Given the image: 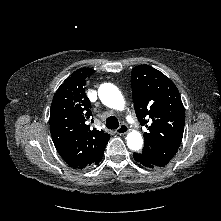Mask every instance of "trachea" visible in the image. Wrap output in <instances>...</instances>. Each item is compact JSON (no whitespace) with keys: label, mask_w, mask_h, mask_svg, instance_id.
Segmentation results:
<instances>
[{"label":"trachea","mask_w":221,"mask_h":221,"mask_svg":"<svg viewBox=\"0 0 221 221\" xmlns=\"http://www.w3.org/2000/svg\"><path fill=\"white\" fill-rule=\"evenodd\" d=\"M106 127L108 129H117L119 127V121L115 116H110L106 119Z\"/></svg>","instance_id":"3493384b"}]
</instances>
